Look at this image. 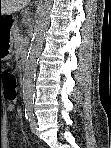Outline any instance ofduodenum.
Masks as SVG:
<instances>
[{"instance_id":"duodenum-1","label":"duodenum","mask_w":111,"mask_h":148,"mask_svg":"<svg viewBox=\"0 0 111 148\" xmlns=\"http://www.w3.org/2000/svg\"><path fill=\"white\" fill-rule=\"evenodd\" d=\"M19 64L22 68H24L27 65L26 57L23 55H20L19 57Z\"/></svg>"}]
</instances>
